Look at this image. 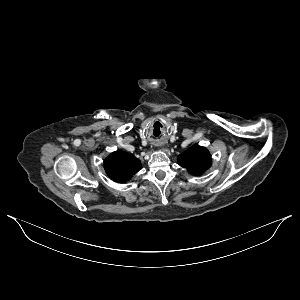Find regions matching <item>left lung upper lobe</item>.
Returning a JSON list of instances; mask_svg holds the SVG:
<instances>
[{"label":"left lung upper lobe","mask_w":300,"mask_h":300,"mask_svg":"<svg viewBox=\"0 0 300 300\" xmlns=\"http://www.w3.org/2000/svg\"><path fill=\"white\" fill-rule=\"evenodd\" d=\"M211 155L205 147L195 145L178 156V164L193 175H200L211 166Z\"/></svg>","instance_id":"1"}]
</instances>
